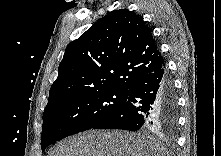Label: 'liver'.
<instances>
[{"label":"liver","instance_id":"liver-1","mask_svg":"<svg viewBox=\"0 0 221 156\" xmlns=\"http://www.w3.org/2000/svg\"><path fill=\"white\" fill-rule=\"evenodd\" d=\"M154 137L119 130H90L60 141L50 156H163Z\"/></svg>","mask_w":221,"mask_h":156}]
</instances>
